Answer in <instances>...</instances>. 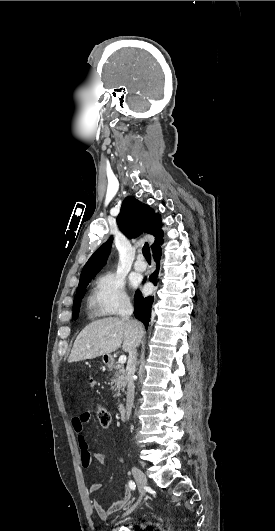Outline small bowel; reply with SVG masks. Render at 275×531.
<instances>
[{
	"label": "small bowel",
	"instance_id": "1",
	"mask_svg": "<svg viewBox=\"0 0 275 531\" xmlns=\"http://www.w3.org/2000/svg\"><path fill=\"white\" fill-rule=\"evenodd\" d=\"M88 380L91 382L89 384V389L91 391H96L98 389V384L96 382H93L95 380V377L93 375H90L88 377ZM90 420V414L89 412H82L78 414L77 416L73 417L71 420V426L74 430L75 434L78 437L79 445L82 449L81 452V462L83 465L88 464L90 465L92 460H95L101 464H106L109 460L108 455L98 453V452H90L87 449V441L84 434V428L85 425ZM101 488L100 482H93L89 485V492L95 493ZM132 498V490L130 487L125 486L120 497L117 501H115L109 508H104L97 500H91L90 505L91 508L97 513L98 517L102 520H107L113 512H116L120 509H122L124 506H126Z\"/></svg>",
	"mask_w": 275,
	"mask_h": 531
}]
</instances>
